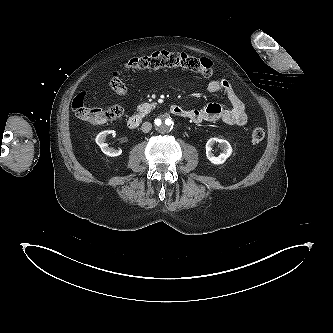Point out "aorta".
I'll return each mask as SVG.
<instances>
[{"label":"aorta","instance_id":"1","mask_svg":"<svg viewBox=\"0 0 333 333\" xmlns=\"http://www.w3.org/2000/svg\"><path fill=\"white\" fill-rule=\"evenodd\" d=\"M156 128L161 133H166L171 129L172 121L169 117H162L156 121Z\"/></svg>","mask_w":333,"mask_h":333}]
</instances>
